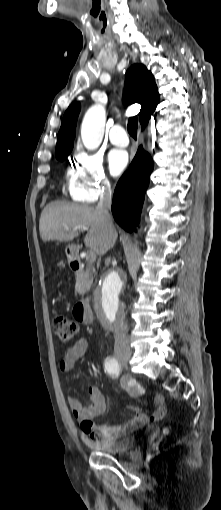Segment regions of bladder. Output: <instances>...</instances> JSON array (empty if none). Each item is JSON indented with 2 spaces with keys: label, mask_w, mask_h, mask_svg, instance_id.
Here are the masks:
<instances>
[{
  "label": "bladder",
  "mask_w": 221,
  "mask_h": 510,
  "mask_svg": "<svg viewBox=\"0 0 221 510\" xmlns=\"http://www.w3.org/2000/svg\"><path fill=\"white\" fill-rule=\"evenodd\" d=\"M136 444L134 436H125L111 442L91 443V447L96 451H100L109 455H117L131 451Z\"/></svg>",
  "instance_id": "obj_1"
}]
</instances>
